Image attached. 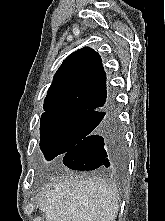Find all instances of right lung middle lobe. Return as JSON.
<instances>
[{
  "label": "right lung middle lobe",
  "mask_w": 165,
  "mask_h": 221,
  "mask_svg": "<svg viewBox=\"0 0 165 221\" xmlns=\"http://www.w3.org/2000/svg\"><path fill=\"white\" fill-rule=\"evenodd\" d=\"M100 112H45L40 121V148L48 160L64 155L102 122Z\"/></svg>",
  "instance_id": "dd1d6c3e"
}]
</instances>
